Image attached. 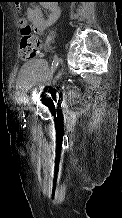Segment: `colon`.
<instances>
[{
  "label": "colon",
  "mask_w": 122,
  "mask_h": 218,
  "mask_svg": "<svg viewBox=\"0 0 122 218\" xmlns=\"http://www.w3.org/2000/svg\"><path fill=\"white\" fill-rule=\"evenodd\" d=\"M41 47L40 40L33 35L32 27L28 23L21 25V42L19 46V56L22 60L36 57Z\"/></svg>",
  "instance_id": "1"
}]
</instances>
